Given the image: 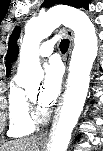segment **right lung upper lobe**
<instances>
[{
    "label": "right lung upper lobe",
    "instance_id": "obj_1",
    "mask_svg": "<svg viewBox=\"0 0 103 151\" xmlns=\"http://www.w3.org/2000/svg\"><path fill=\"white\" fill-rule=\"evenodd\" d=\"M20 35V27H16L12 32L9 40V47L6 55V75L8 76L10 73L11 63L17 59V55L19 52L18 46L16 45V41Z\"/></svg>",
    "mask_w": 103,
    "mask_h": 151
}]
</instances>
